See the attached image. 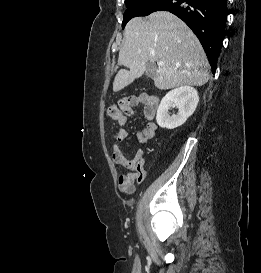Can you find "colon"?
I'll return each mask as SVG.
<instances>
[{"instance_id":"1","label":"colon","mask_w":261,"mask_h":273,"mask_svg":"<svg viewBox=\"0 0 261 273\" xmlns=\"http://www.w3.org/2000/svg\"><path fill=\"white\" fill-rule=\"evenodd\" d=\"M136 99L131 96L121 98L116 104L110 106L108 113L114 120H119L122 117H127L132 114V106L136 103Z\"/></svg>"}]
</instances>
